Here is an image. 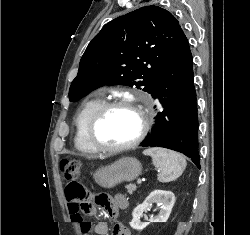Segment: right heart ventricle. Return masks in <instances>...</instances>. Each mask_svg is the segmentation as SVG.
<instances>
[{
  "instance_id": "right-heart-ventricle-1",
  "label": "right heart ventricle",
  "mask_w": 250,
  "mask_h": 235,
  "mask_svg": "<svg viewBox=\"0 0 250 235\" xmlns=\"http://www.w3.org/2000/svg\"><path fill=\"white\" fill-rule=\"evenodd\" d=\"M104 102L101 96L87 99L78 110L75 117L74 145L84 155H96L99 153L88 141L86 129L92 114Z\"/></svg>"
}]
</instances>
